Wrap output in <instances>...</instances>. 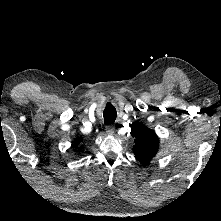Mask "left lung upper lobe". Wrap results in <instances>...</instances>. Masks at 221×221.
Masks as SVG:
<instances>
[{
	"label": "left lung upper lobe",
	"instance_id": "obj_1",
	"mask_svg": "<svg viewBox=\"0 0 221 221\" xmlns=\"http://www.w3.org/2000/svg\"><path fill=\"white\" fill-rule=\"evenodd\" d=\"M131 135L135 138L133 151L135 157L143 165L149 164L150 160L156 155L159 147V139L156 133L141 124L130 125Z\"/></svg>",
	"mask_w": 221,
	"mask_h": 221
}]
</instances>
